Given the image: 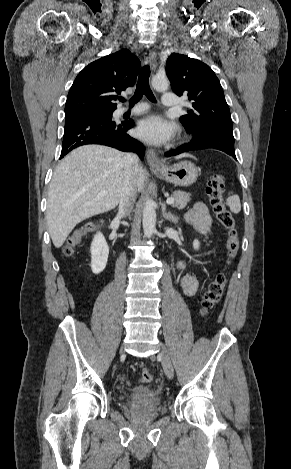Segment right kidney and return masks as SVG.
<instances>
[{"mask_svg": "<svg viewBox=\"0 0 291 469\" xmlns=\"http://www.w3.org/2000/svg\"><path fill=\"white\" fill-rule=\"evenodd\" d=\"M109 247L102 233L97 232L91 244V269L94 274L101 273L107 264Z\"/></svg>", "mask_w": 291, "mask_h": 469, "instance_id": "right-kidney-1", "label": "right kidney"}]
</instances>
